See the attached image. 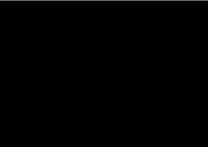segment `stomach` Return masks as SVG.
<instances>
[{"mask_svg": "<svg viewBox=\"0 0 208 147\" xmlns=\"http://www.w3.org/2000/svg\"><path fill=\"white\" fill-rule=\"evenodd\" d=\"M119 48L124 59L130 63H141L146 55V43L135 33L124 36Z\"/></svg>", "mask_w": 208, "mask_h": 147, "instance_id": "0dacf381", "label": "stomach"}]
</instances>
